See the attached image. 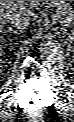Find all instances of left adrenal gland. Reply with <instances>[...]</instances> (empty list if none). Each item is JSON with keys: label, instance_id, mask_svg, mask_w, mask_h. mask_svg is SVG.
I'll list each match as a JSON object with an SVG mask.
<instances>
[{"label": "left adrenal gland", "instance_id": "obj_1", "mask_svg": "<svg viewBox=\"0 0 74 122\" xmlns=\"http://www.w3.org/2000/svg\"><path fill=\"white\" fill-rule=\"evenodd\" d=\"M63 30H64V33H65V34H68V33H67V29H63ZM68 35H69V34H68Z\"/></svg>", "mask_w": 74, "mask_h": 122}]
</instances>
